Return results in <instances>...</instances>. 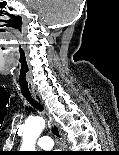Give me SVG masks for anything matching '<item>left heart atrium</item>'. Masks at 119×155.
<instances>
[{
	"instance_id": "left-heart-atrium-1",
	"label": "left heart atrium",
	"mask_w": 119,
	"mask_h": 155,
	"mask_svg": "<svg viewBox=\"0 0 119 155\" xmlns=\"http://www.w3.org/2000/svg\"><path fill=\"white\" fill-rule=\"evenodd\" d=\"M50 155H59V154L53 153V154H50Z\"/></svg>"
}]
</instances>
